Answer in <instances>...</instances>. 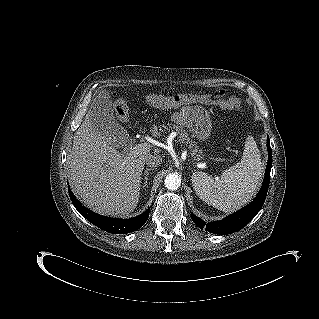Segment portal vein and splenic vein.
I'll return each instance as SVG.
<instances>
[{
	"instance_id": "portal-vein-and-splenic-vein-1",
	"label": "portal vein and splenic vein",
	"mask_w": 319,
	"mask_h": 319,
	"mask_svg": "<svg viewBox=\"0 0 319 319\" xmlns=\"http://www.w3.org/2000/svg\"><path fill=\"white\" fill-rule=\"evenodd\" d=\"M150 145L148 143L137 144L132 148L131 154L136 156L149 151Z\"/></svg>"
}]
</instances>
